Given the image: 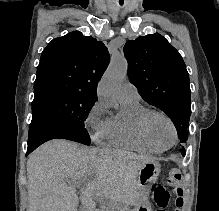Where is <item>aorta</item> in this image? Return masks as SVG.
Returning a JSON list of instances; mask_svg holds the SVG:
<instances>
[{
	"label": "aorta",
	"mask_w": 219,
	"mask_h": 211,
	"mask_svg": "<svg viewBox=\"0 0 219 211\" xmlns=\"http://www.w3.org/2000/svg\"><path fill=\"white\" fill-rule=\"evenodd\" d=\"M128 64L124 57L111 60L98 86L99 98L109 107L117 105L121 83L127 75Z\"/></svg>",
	"instance_id": "1"
}]
</instances>
